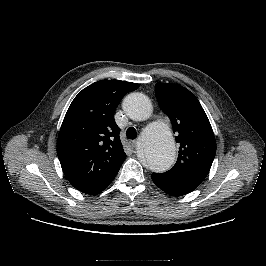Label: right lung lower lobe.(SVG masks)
<instances>
[{
	"mask_svg": "<svg viewBox=\"0 0 266 266\" xmlns=\"http://www.w3.org/2000/svg\"><path fill=\"white\" fill-rule=\"evenodd\" d=\"M112 182V180L107 184L105 185L103 188L99 189L98 191H95L94 193H91V195H96V194H99L100 192H102L110 183Z\"/></svg>",
	"mask_w": 266,
	"mask_h": 266,
	"instance_id": "right-lung-lower-lobe-1",
	"label": "right lung lower lobe"
}]
</instances>
